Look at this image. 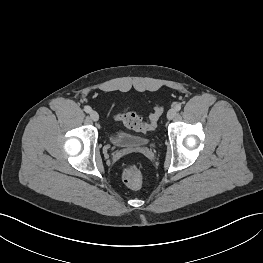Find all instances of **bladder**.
I'll return each mask as SVG.
<instances>
[{
    "mask_svg": "<svg viewBox=\"0 0 263 263\" xmlns=\"http://www.w3.org/2000/svg\"><path fill=\"white\" fill-rule=\"evenodd\" d=\"M109 142L115 147L138 148L147 143V139L123 130H112L108 133Z\"/></svg>",
    "mask_w": 263,
    "mask_h": 263,
    "instance_id": "bladder-1",
    "label": "bladder"
}]
</instances>
